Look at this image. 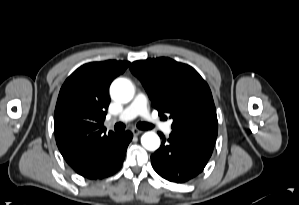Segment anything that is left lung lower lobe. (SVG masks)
<instances>
[{
    "label": "left lung lower lobe",
    "instance_id": "0a47b994",
    "mask_svg": "<svg viewBox=\"0 0 299 205\" xmlns=\"http://www.w3.org/2000/svg\"><path fill=\"white\" fill-rule=\"evenodd\" d=\"M216 138L217 131L172 130L151 156L152 166L166 180L184 183L203 171Z\"/></svg>",
    "mask_w": 299,
    "mask_h": 205
}]
</instances>
